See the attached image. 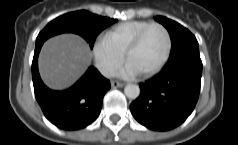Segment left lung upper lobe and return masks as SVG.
Returning <instances> with one entry per match:
<instances>
[{
  "label": "left lung upper lobe",
  "mask_w": 238,
  "mask_h": 145,
  "mask_svg": "<svg viewBox=\"0 0 238 145\" xmlns=\"http://www.w3.org/2000/svg\"><path fill=\"white\" fill-rule=\"evenodd\" d=\"M155 20L164 25L170 34L171 52L168 63L185 54L199 52L198 42L188 29L163 16H156Z\"/></svg>",
  "instance_id": "obj_1"
}]
</instances>
